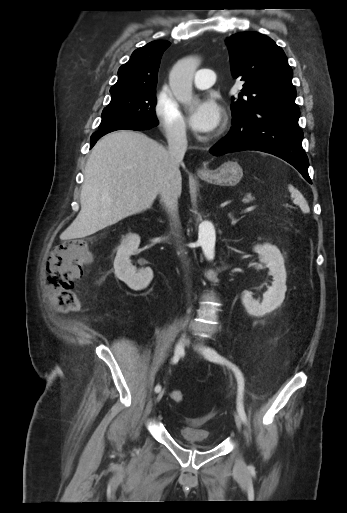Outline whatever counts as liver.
Returning <instances> with one entry per match:
<instances>
[{"label":"liver","mask_w":347,"mask_h":513,"mask_svg":"<svg viewBox=\"0 0 347 513\" xmlns=\"http://www.w3.org/2000/svg\"><path fill=\"white\" fill-rule=\"evenodd\" d=\"M170 182L179 196L181 173L171 170L164 146L131 130L103 136L85 166L81 210L61 238H83L149 209Z\"/></svg>","instance_id":"liver-1"}]
</instances>
